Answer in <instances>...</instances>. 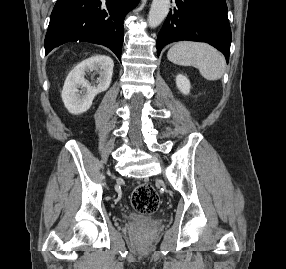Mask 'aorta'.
I'll list each match as a JSON object with an SVG mask.
<instances>
[{
	"mask_svg": "<svg viewBox=\"0 0 286 269\" xmlns=\"http://www.w3.org/2000/svg\"><path fill=\"white\" fill-rule=\"evenodd\" d=\"M170 8V0H153L148 15V24L151 28H155L168 15Z\"/></svg>",
	"mask_w": 286,
	"mask_h": 269,
	"instance_id": "1",
	"label": "aorta"
}]
</instances>
